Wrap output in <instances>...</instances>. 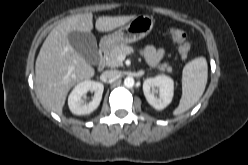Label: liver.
I'll return each mask as SVG.
<instances>
[{
  "mask_svg": "<svg viewBox=\"0 0 248 165\" xmlns=\"http://www.w3.org/2000/svg\"><path fill=\"white\" fill-rule=\"evenodd\" d=\"M135 17H99L95 27L100 32H108ZM92 29V13L78 14L62 20L45 39L35 64V84L44 108L61 114L69 90L76 83L94 76L92 66L68 40L71 31L91 32Z\"/></svg>",
  "mask_w": 248,
  "mask_h": 165,
  "instance_id": "1",
  "label": "liver"
}]
</instances>
